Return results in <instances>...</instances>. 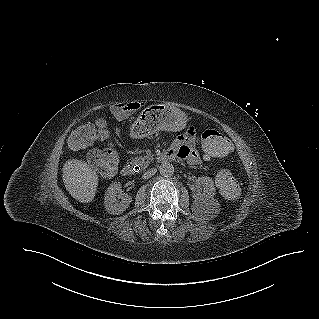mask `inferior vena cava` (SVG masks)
<instances>
[{
  "instance_id": "obj_1",
  "label": "inferior vena cava",
  "mask_w": 319,
  "mask_h": 319,
  "mask_svg": "<svg viewBox=\"0 0 319 319\" xmlns=\"http://www.w3.org/2000/svg\"><path fill=\"white\" fill-rule=\"evenodd\" d=\"M155 173H156V169L148 170L147 172H145V173L142 175V178H143V179H148V178L152 177Z\"/></svg>"
}]
</instances>
